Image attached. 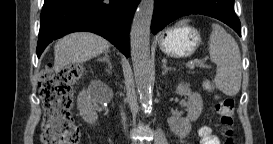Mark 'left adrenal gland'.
Instances as JSON below:
<instances>
[{
	"label": "left adrenal gland",
	"instance_id": "obj_1",
	"mask_svg": "<svg viewBox=\"0 0 273 144\" xmlns=\"http://www.w3.org/2000/svg\"><path fill=\"white\" fill-rule=\"evenodd\" d=\"M163 75H165L168 71H170V70H172V68L171 67H167V64H166V60L165 59H163Z\"/></svg>",
	"mask_w": 273,
	"mask_h": 144
}]
</instances>
